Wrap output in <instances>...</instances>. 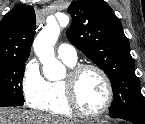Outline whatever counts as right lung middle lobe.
Returning a JSON list of instances; mask_svg holds the SVG:
<instances>
[{
	"label": "right lung middle lobe",
	"mask_w": 145,
	"mask_h": 124,
	"mask_svg": "<svg viewBox=\"0 0 145 124\" xmlns=\"http://www.w3.org/2000/svg\"><path fill=\"white\" fill-rule=\"evenodd\" d=\"M26 60L0 61V103L24 102L22 79Z\"/></svg>",
	"instance_id": "1"
}]
</instances>
